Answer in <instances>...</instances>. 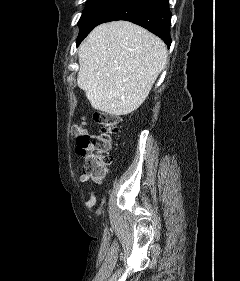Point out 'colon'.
Here are the masks:
<instances>
[{"mask_svg": "<svg viewBox=\"0 0 240 281\" xmlns=\"http://www.w3.org/2000/svg\"><path fill=\"white\" fill-rule=\"evenodd\" d=\"M95 121L101 126L98 133H90L82 125H76L72 129V136L76 153L85 158L82 171L86 174L101 175L111 161L109 150L119 118L113 114L99 112L95 115Z\"/></svg>", "mask_w": 240, "mask_h": 281, "instance_id": "colon-1", "label": "colon"}]
</instances>
